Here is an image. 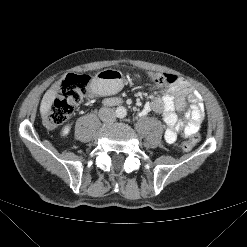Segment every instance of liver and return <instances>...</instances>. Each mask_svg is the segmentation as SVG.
<instances>
[{"label": "liver", "mask_w": 247, "mask_h": 247, "mask_svg": "<svg viewBox=\"0 0 247 247\" xmlns=\"http://www.w3.org/2000/svg\"><path fill=\"white\" fill-rule=\"evenodd\" d=\"M57 89L58 86L54 85L44 94L40 105V113L42 116H44L51 109V106L57 96Z\"/></svg>", "instance_id": "6515ba94"}]
</instances>
